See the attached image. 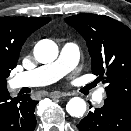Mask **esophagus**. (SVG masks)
Returning <instances> with one entry per match:
<instances>
[{
  "instance_id": "esophagus-1",
  "label": "esophagus",
  "mask_w": 131,
  "mask_h": 131,
  "mask_svg": "<svg viewBox=\"0 0 131 131\" xmlns=\"http://www.w3.org/2000/svg\"><path fill=\"white\" fill-rule=\"evenodd\" d=\"M70 95V93H66V92H63V93H61V92H52V93H50V97L51 98H61V97H64V96H69Z\"/></svg>"
}]
</instances>
